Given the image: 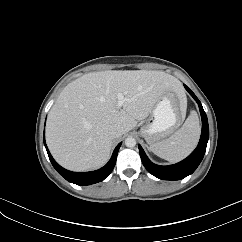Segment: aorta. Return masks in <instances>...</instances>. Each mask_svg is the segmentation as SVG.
I'll return each mask as SVG.
<instances>
[{
    "label": "aorta",
    "instance_id": "obj_1",
    "mask_svg": "<svg viewBox=\"0 0 242 242\" xmlns=\"http://www.w3.org/2000/svg\"><path fill=\"white\" fill-rule=\"evenodd\" d=\"M125 145L129 148H132L136 145V140L133 137H128L125 139Z\"/></svg>",
    "mask_w": 242,
    "mask_h": 242
}]
</instances>
